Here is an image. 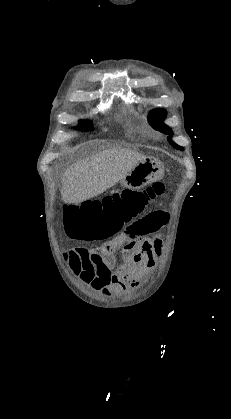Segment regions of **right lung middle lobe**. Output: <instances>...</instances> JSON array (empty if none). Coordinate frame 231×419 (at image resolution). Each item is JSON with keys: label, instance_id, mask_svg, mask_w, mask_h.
Listing matches in <instances>:
<instances>
[{"label": "right lung middle lobe", "instance_id": "1", "mask_svg": "<svg viewBox=\"0 0 231 419\" xmlns=\"http://www.w3.org/2000/svg\"><path fill=\"white\" fill-rule=\"evenodd\" d=\"M81 130H92V122L91 121H79Z\"/></svg>", "mask_w": 231, "mask_h": 419}]
</instances>
